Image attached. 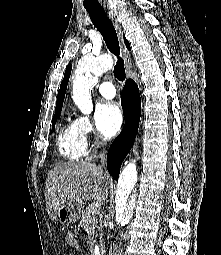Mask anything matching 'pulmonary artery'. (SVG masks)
<instances>
[{
  "label": "pulmonary artery",
  "mask_w": 221,
  "mask_h": 255,
  "mask_svg": "<svg viewBox=\"0 0 221 255\" xmlns=\"http://www.w3.org/2000/svg\"><path fill=\"white\" fill-rule=\"evenodd\" d=\"M99 92L106 99H112L116 95L115 87L109 81H104L99 85Z\"/></svg>",
  "instance_id": "1"
}]
</instances>
